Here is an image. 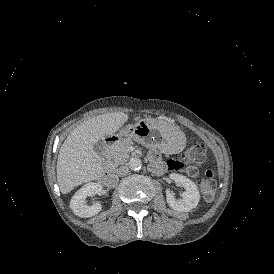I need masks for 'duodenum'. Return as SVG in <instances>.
Here are the masks:
<instances>
[{
  "label": "duodenum",
  "instance_id": "obj_1",
  "mask_svg": "<svg viewBox=\"0 0 274 274\" xmlns=\"http://www.w3.org/2000/svg\"><path fill=\"white\" fill-rule=\"evenodd\" d=\"M117 140H118L117 137L112 136V137H108L105 141V152L102 155V160H103V163H104V166H105V178L107 180H112L115 177V172H114L113 168L111 167V165L108 161L106 152L112 144L117 142ZM156 169L161 170V168H159V167H157Z\"/></svg>",
  "mask_w": 274,
  "mask_h": 274
}]
</instances>
